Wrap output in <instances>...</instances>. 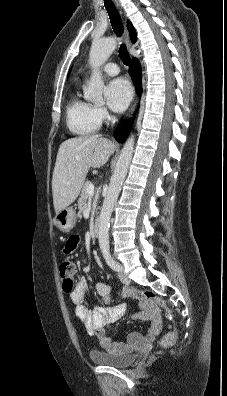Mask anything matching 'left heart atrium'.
Here are the masks:
<instances>
[{
    "instance_id": "obj_1",
    "label": "left heart atrium",
    "mask_w": 227,
    "mask_h": 396,
    "mask_svg": "<svg viewBox=\"0 0 227 396\" xmlns=\"http://www.w3.org/2000/svg\"><path fill=\"white\" fill-rule=\"evenodd\" d=\"M132 98V88L124 78L109 82L105 89V99L109 108L115 112L124 111Z\"/></svg>"
}]
</instances>
